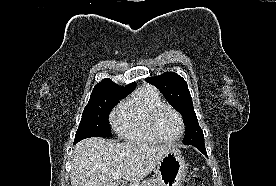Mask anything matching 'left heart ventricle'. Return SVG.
<instances>
[{
    "label": "left heart ventricle",
    "mask_w": 276,
    "mask_h": 186,
    "mask_svg": "<svg viewBox=\"0 0 276 186\" xmlns=\"http://www.w3.org/2000/svg\"><path fill=\"white\" fill-rule=\"evenodd\" d=\"M157 129L164 138L173 139L179 135L181 125L178 117L171 110L165 109L157 119Z\"/></svg>",
    "instance_id": "left-heart-ventricle-1"
}]
</instances>
